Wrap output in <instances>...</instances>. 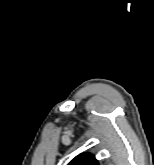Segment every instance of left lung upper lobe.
Listing matches in <instances>:
<instances>
[{"instance_id": "1", "label": "left lung upper lobe", "mask_w": 154, "mask_h": 165, "mask_svg": "<svg viewBox=\"0 0 154 165\" xmlns=\"http://www.w3.org/2000/svg\"><path fill=\"white\" fill-rule=\"evenodd\" d=\"M69 165H98V162L92 154L84 153L75 157Z\"/></svg>"}]
</instances>
